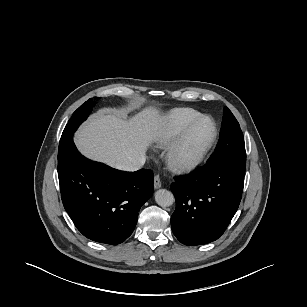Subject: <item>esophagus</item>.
Instances as JSON below:
<instances>
[{
  "mask_svg": "<svg viewBox=\"0 0 307 307\" xmlns=\"http://www.w3.org/2000/svg\"><path fill=\"white\" fill-rule=\"evenodd\" d=\"M161 185H162V183H161L160 177H159V175H156L154 177V188L159 189L161 187Z\"/></svg>",
  "mask_w": 307,
  "mask_h": 307,
  "instance_id": "esophagus-1",
  "label": "esophagus"
}]
</instances>
